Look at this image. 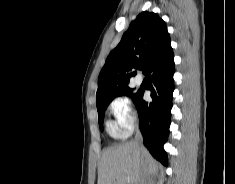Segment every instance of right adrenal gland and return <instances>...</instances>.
Here are the masks:
<instances>
[{"label":"right adrenal gland","instance_id":"obj_1","mask_svg":"<svg viewBox=\"0 0 235 184\" xmlns=\"http://www.w3.org/2000/svg\"><path fill=\"white\" fill-rule=\"evenodd\" d=\"M148 184H153V182H152V178H150V180H149Z\"/></svg>","mask_w":235,"mask_h":184}]
</instances>
